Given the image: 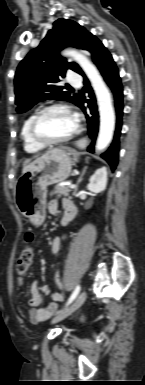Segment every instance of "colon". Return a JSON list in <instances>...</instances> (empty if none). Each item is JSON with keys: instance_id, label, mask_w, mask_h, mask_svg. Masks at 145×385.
Segmentation results:
<instances>
[{"instance_id": "1", "label": "colon", "mask_w": 145, "mask_h": 385, "mask_svg": "<svg viewBox=\"0 0 145 385\" xmlns=\"http://www.w3.org/2000/svg\"><path fill=\"white\" fill-rule=\"evenodd\" d=\"M33 238H34V235L31 232L27 233L26 235L27 242H32ZM33 257H34V250L32 247L27 246L21 251L16 261V270L20 276H23L27 273V271L29 270L32 264Z\"/></svg>"}]
</instances>
